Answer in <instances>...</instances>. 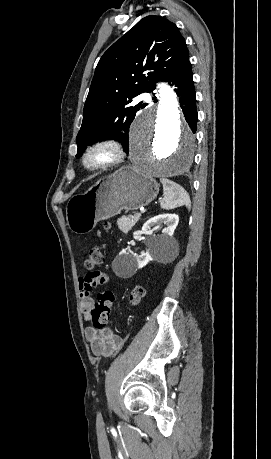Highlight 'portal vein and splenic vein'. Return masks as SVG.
<instances>
[{"instance_id":"18ae733b","label":"portal vein and splenic vein","mask_w":271,"mask_h":459,"mask_svg":"<svg viewBox=\"0 0 271 459\" xmlns=\"http://www.w3.org/2000/svg\"><path fill=\"white\" fill-rule=\"evenodd\" d=\"M135 216H136V217H141V216H142V215H141V212H140V211L137 212V214H136Z\"/></svg>"}]
</instances>
